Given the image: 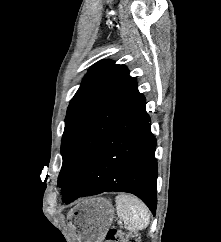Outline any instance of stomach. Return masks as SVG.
Here are the masks:
<instances>
[{
	"label": "stomach",
	"mask_w": 221,
	"mask_h": 242,
	"mask_svg": "<svg viewBox=\"0 0 221 242\" xmlns=\"http://www.w3.org/2000/svg\"><path fill=\"white\" fill-rule=\"evenodd\" d=\"M114 218L105 198L84 199L70 211V227L78 242H102Z\"/></svg>",
	"instance_id": "0dacf381"
}]
</instances>
